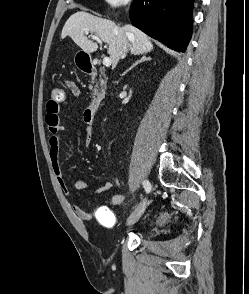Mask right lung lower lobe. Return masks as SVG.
<instances>
[{"instance_id": "right-lung-lower-lobe-1", "label": "right lung lower lobe", "mask_w": 249, "mask_h": 294, "mask_svg": "<svg viewBox=\"0 0 249 294\" xmlns=\"http://www.w3.org/2000/svg\"><path fill=\"white\" fill-rule=\"evenodd\" d=\"M194 0H134L130 20L154 39L185 52L192 32Z\"/></svg>"}]
</instances>
